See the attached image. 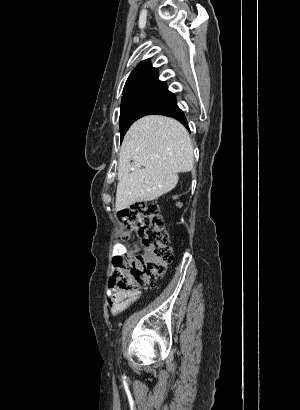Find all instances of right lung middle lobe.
<instances>
[{"label": "right lung middle lobe", "mask_w": 300, "mask_h": 410, "mask_svg": "<svg viewBox=\"0 0 300 410\" xmlns=\"http://www.w3.org/2000/svg\"><path fill=\"white\" fill-rule=\"evenodd\" d=\"M175 102L174 95L167 90L164 82L124 88L120 110L121 140L134 121L155 114Z\"/></svg>", "instance_id": "right-lung-middle-lobe-1"}]
</instances>
